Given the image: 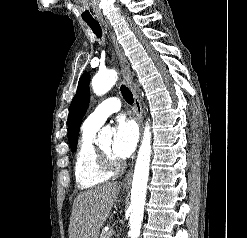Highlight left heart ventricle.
Instances as JSON below:
<instances>
[{"mask_svg":"<svg viewBox=\"0 0 247 238\" xmlns=\"http://www.w3.org/2000/svg\"><path fill=\"white\" fill-rule=\"evenodd\" d=\"M100 148L106 152L107 154L111 155L114 157L113 152H112V141L108 140L105 143L101 144Z\"/></svg>","mask_w":247,"mask_h":238,"instance_id":"obj_1","label":"left heart ventricle"}]
</instances>
